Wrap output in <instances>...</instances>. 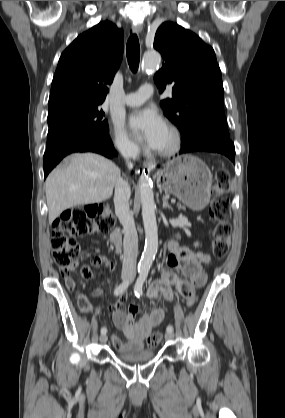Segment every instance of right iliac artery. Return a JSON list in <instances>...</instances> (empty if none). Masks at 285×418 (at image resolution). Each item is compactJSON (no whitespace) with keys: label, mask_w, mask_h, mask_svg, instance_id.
<instances>
[{"label":"right iliac artery","mask_w":285,"mask_h":418,"mask_svg":"<svg viewBox=\"0 0 285 418\" xmlns=\"http://www.w3.org/2000/svg\"><path fill=\"white\" fill-rule=\"evenodd\" d=\"M140 271H142V270H140ZM138 272H139V271H138ZM128 285H129V280H126V281L122 282L119 286H117V287L115 288V290H114V295H115V296H118V295H120L121 293H123V292L127 289ZM106 332H107L106 327H102V328H101V334L106 333Z\"/></svg>","instance_id":"1"}]
</instances>
